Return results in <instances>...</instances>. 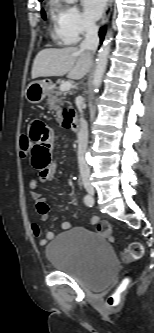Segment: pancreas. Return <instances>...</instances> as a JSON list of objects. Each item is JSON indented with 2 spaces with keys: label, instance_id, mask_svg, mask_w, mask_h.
Segmentation results:
<instances>
[{
  "label": "pancreas",
  "instance_id": "1",
  "mask_svg": "<svg viewBox=\"0 0 154 333\" xmlns=\"http://www.w3.org/2000/svg\"><path fill=\"white\" fill-rule=\"evenodd\" d=\"M63 94L62 91L57 88H53L48 92V105L51 110H55L57 112V117H60V107L63 105L64 97H61Z\"/></svg>",
  "mask_w": 154,
  "mask_h": 333
}]
</instances>
